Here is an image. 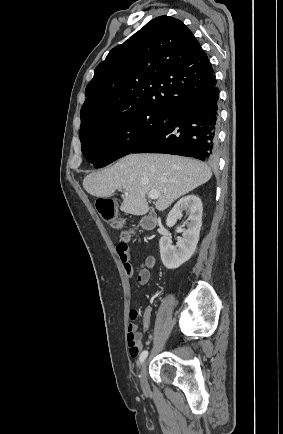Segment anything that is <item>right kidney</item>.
I'll use <instances>...</instances> for the list:
<instances>
[{
    "label": "right kidney",
    "instance_id": "ca27d5eb",
    "mask_svg": "<svg viewBox=\"0 0 283 434\" xmlns=\"http://www.w3.org/2000/svg\"><path fill=\"white\" fill-rule=\"evenodd\" d=\"M183 211L189 215L187 229L183 231L176 246L172 245L170 234L161 237L159 242L161 260L167 269H176L188 261L199 241L203 207L198 196L188 195L181 198L169 213L166 225L172 227L182 217Z\"/></svg>",
    "mask_w": 283,
    "mask_h": 434
}]
</instances>
